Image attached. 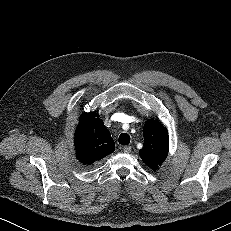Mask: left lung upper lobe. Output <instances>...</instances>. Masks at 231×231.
Wrapping results in <instances>:
<instances>
[{
  "instance_id": "1",
  "label": "left lung upper lobe",
  "mask_w": 231,
  "mask_h": 231,
  "mask_svg": "<svg viewBox=\"0 0 231 231\" xmlns=\"http://www.w3.org/2000/svg\"><path fill=\"white\" fill-rule=\"evenodd\" d=\"M144 146L139 150L141 159L152 170H157L168 155L167 129L156 120H148L143 127Z\"/></svg>"
}]
</instances>
